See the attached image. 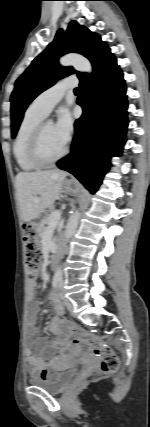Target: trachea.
I'll list each match as a JSON object with an SVG mask.
<instances>
[{
  "mask_svg": "<svg viewBox=\"0 0 150 427\" xmlns=\"http://www.w3.org/2000/svg\"><path fill=\"white\" fill-rule=\"evenodd\" d=\"M76 93H78L80 90H79V88H75V90H74Z\"/></svg>",
  "mask_w": 150,
  "mask_h": 427,
  "instance_id": "trachea-1",
  "label": "trachea"
}]
</instances>
